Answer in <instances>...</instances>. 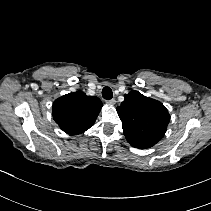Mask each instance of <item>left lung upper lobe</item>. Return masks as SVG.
I'll use <instances>...</instances> for the list:
<instances>
[{
	"label": "left lung upper lobe",
	"instance_id": "left-lung-upper-lobe-1",
	"mask_svg": "<svg viewBox=\"0 0 211 211\" xmlns=\"http://www.w3.org/2000/svg\"><path fill=\"white\" fill-rule=\"evenodd\" d=\"M116 108L124 135L131 146L146 149L157 144L165 135L170 115L165 106L138 91L124 95Z\"/></svg>",
	"mask_w": 211,
	"mask_h": 211
}]
</instances>
